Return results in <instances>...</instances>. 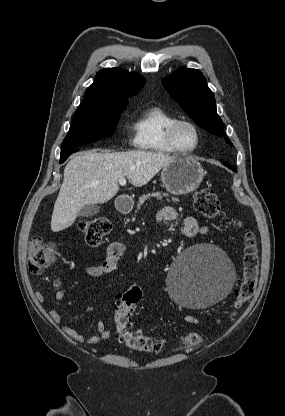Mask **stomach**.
<instances>
[{"label":"stomach","instance_id":"0dacf381","mask_svg":"<svg viewBox=\"0 0 285 416\" xmlns=\"http://www.w3.org/2000/svg\"><path fill=\"white\" fill-rule=\"evenodd\" d=\"M204 170L193 158H176L164 166L161 172V182L167 192L175 196L191 194L200 186Z\"/></svg>","mask_w":285,"mask_h":416}]
</instances>
